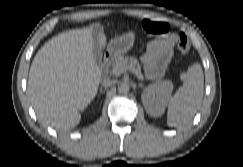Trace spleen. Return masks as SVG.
<instances>
[{
	"instance_id": "spleen-1",
	"label": "spleen",
	"mask_w": 243,
	"mask_h": 167,
	"mask_svg": "<svg viewBox=\"0 0 243 167\" xmlns=\"http://www.w3.org/2000/svg\"><path fill=\"white\" fill-rule=\"evenodd\" d=\"M183 85L168 102L167 124L178 127L188 123L203 100L204 75L199 62L191 65L186 73L181 75Z\"/></svg>"
}]
</instances>
